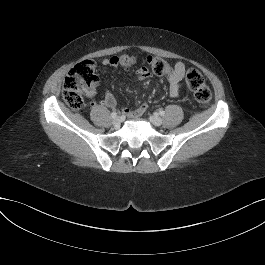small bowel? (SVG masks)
Instances as JSON below:
<instances>
[{
    "instance_id": "c3829d8e",
    "label": "small bowel",
    "mask_w": 265,
    "mask_h": 265,
    "mask_svg": "<svg viewBox=\"0 0 265 265\" xmlns=\"http://www.w3.org/2000/svg\"><path fill=\"white\" fill-rule=\"evenodd\" d=\"M103 65L109 67H118L116 64L113 63L112 58L104 60ZM185 73H186L185 64L183 62H177L174 65V68L171 71V73L168 75L167 80L169 83V95L172 98H178L180 96L183 87V78ZM150 76L151 73L146 66H142L136 71V77L138 80H146ZM84 94L89 98L95 96L96 95L95 87L86 89L84 91ZM99 104L107 106L109 108H114L117 105V100L113 93L107 91L104 94L103 100ZM91 105L94 106L96 104L91 103ZM147 108H148L147 103H142L136 109H124L123 114L131 118H137L143 115L147 110Z\"/></svg>"
}]
</instances>
